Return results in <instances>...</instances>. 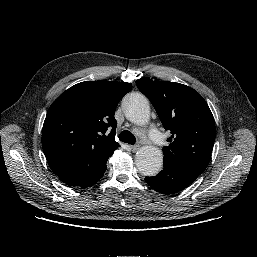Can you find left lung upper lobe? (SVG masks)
Wrapping results in <instances>:
<instances>
[{
    "instance_id": "obj_1",
    "label": "left lung upper lobe",
    "mask_w": 257,
    "mask_h": 257,
    "mask_svg": "<svg viewBox=\"0 0 257 257\" xmlns=\"http://www.w3.org/2000/svg\"><path fill=\"white\" fill-rule=\"evenodd\" d=\"M136 85L172 134L169 146L163 147L164 161L200 175L210 161L215 141L214 118L206 101L197 91L180 83L139 79Z\"/></svg>"
}]
</instances>
